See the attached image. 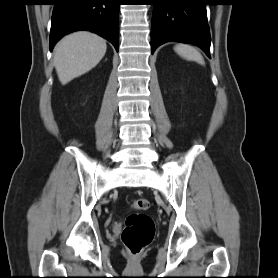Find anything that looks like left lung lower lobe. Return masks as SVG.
I'll return each instance as SVG.
<instances>
[{
	"instance_id": "left-lung-lower-lobe-1",
	"label": "left lung lower lobe",
	"mask_w": 278,
	"mask_h": 278,
	"mask_svg": "<svg viewBox=\"0 0 278 278\" xmlns=\"http://www.w3.org/2000/svg\"><path fill=\"white\" fill-rule=\"evenodd\" d=\"M151 48L165 42L190 43L210 57L207 0H152Z\"/></svg>"
}]
</instances>
